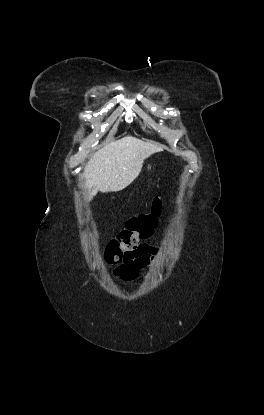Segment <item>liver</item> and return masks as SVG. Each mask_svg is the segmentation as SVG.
Here are the masks:
<instances>
[{
  "label": "liver",
  "mask_w": 264,
  "mask_h": 415,
  "mask_svg": "<svg viewBox=\"0 0 264 415\" xmlns=\"http://www.w3.org/2000/svg\"><path fill=\"white\" fill-rule=\"evenodd\" d=\"M161 151L160 147L132 136L106 144L91 157L81 175L88 200L98 191L117 192L126 188L139 175L144 160Z\"/></svg>",
  "instance_id": "6515ba94"
}]
</instances>
